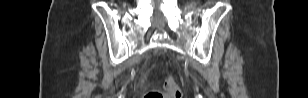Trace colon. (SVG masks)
<instances>
[{
	"instance_id": "obj_1",
	"label": "colon",
	"mask_w": 308,
	"mask_h": 98,
	"mask_svg": "<svg viewBox=\"0 0 308 98\" xmlns=\"http://www.w3.org/2000/svg\"><path fill=\"white\" fill-rule=\"evenodd\" d=\"M181 90L174 78L169 77L164 84V92L152 90L145 94L144 98H180Z\"/></svg>"
}]
</instances>
